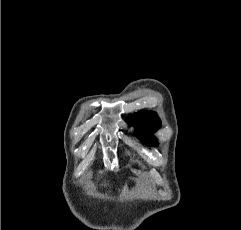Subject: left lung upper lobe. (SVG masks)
<instances>
[{"label":"left lung upper lobe","mask_w":241,"mask_h":230,"mask_svg":"<svg viewBox=\"0 0 241 230\" xmlns=\"http://www.w3.org/2000/svg\"><path fill=\"white\" fill-rule=\"evenodd\" d=\"M128 121L131 125L136 126V134L144 144L150 146L157 144L156 138L149 135L158 130L161 126V121L156 113L141 111L131 115Z\"/></svg>","instance_id":"5c2ea615"}]
</instances>
